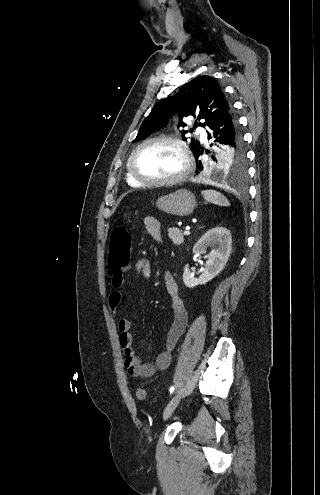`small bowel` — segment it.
I'll return each mask as SVG.
<instances>
[{
	"mask_svg": "<svg viewBox=\"0 0 320 495\" xmlns=\"http://www.w3.org/2000/svg\"><path fill=\"white\" fill-rule=\"evenodd\" d=\"M144 226L153 239L159 243L162 242L161 225L155 217H145ZM151 269L150 257H144L138 259L133 266H127L120 272L111 273V284L114 289L109 295V309L114 316H117L118 307L122 301V293L118 289L123 285L124 274L133 270L140 273L144 278H150ZM164 282L166 291L171 297L173 319L165 337L164 347L153 362H141L133 347L130 322L127 319L118 320L119 344L125 355V367L133 377L149 378L155 372L168 368L171 363L172 350L187 326V307L184 300L179 296L178 285L169 271L164 274Z\"/></svg>",
	"mask_w": 320,
	"mask_h": 495,
	"instance_id": "obj_1",
	"label": "small bowel"
}]
</instances>
